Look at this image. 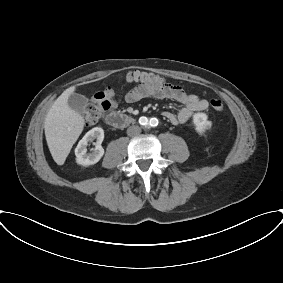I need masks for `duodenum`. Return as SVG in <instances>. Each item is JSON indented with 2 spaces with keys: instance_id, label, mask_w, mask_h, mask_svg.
<instances>
[{
  "instance_id": "1",
  "label": "duodenum",
  "mask_w": 283,
  "mask_h": 283,
  "mask_svg": "<svg viewBox=\"0 0 283 283\" xmlns=\"http://www.w3.org/2000/svg\"><path fill=\"white\" fill-rule=\"evenodd\" d=\"M105 122L115 128H124L135 122V119L120 112H110L105 116Z\"/></svg>"
}]
</instances>
